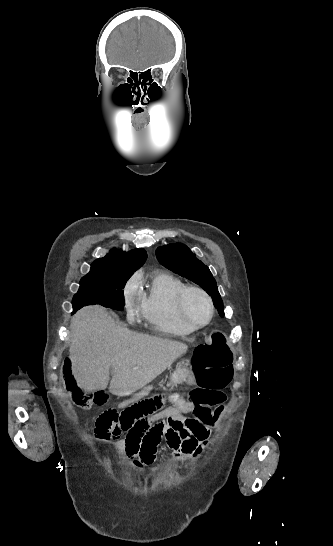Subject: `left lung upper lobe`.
<instances>
[{
  "label": "left lung upper lobe",
  "mask_w": 333,
  "mask_h": 546,
  "mask_svg": "<svg viewBox=\"0 0 333 546\" xmlns=\"http://www.w3.org/2000/svg\"><path fill=\"white\" fill-rule=\"evenodd\" d=\"M156 256L163 266L202 287L212 297L220 316H224L223 302L212 273L186 245L174 243L158 247Z\"/></svg>",
  "instance_id": "obj_1"
}]
</instances>
